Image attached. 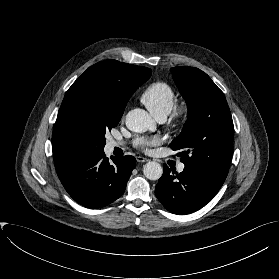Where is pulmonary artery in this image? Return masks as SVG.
Listing matches in <instances>:
<instances>
[{
	"label": "pulmonary artery",
	"mask_w": 279,
	"mask_h": 279,
	"mask_svg": "<svg viewBox=\"0 0 279 279\" xmlns=\"http://www.w3.org/2000/svg\"><path fill=\"white\" fill-rule=\"evenodd\" d=\"M165 116H159V117H157V120L159 121V122H163L164 120H165ZM121 144L120 143H118V142H115V141H112L111 142V146L112 147H117V146H120ZM184 168H185V165L183 164V163H180L178 166H177V170L179 171V172H182L183 170H184Z\"/></svg>",
	"instance_id": "pulmonary-artery-1"
}]
</instances>
